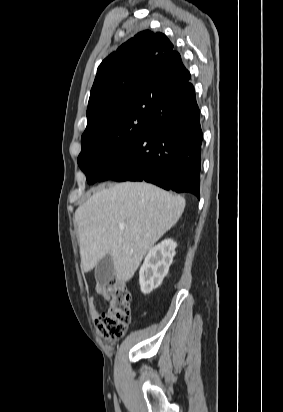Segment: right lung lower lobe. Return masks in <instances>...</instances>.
Returning a JSON list of instances; mask_svg holds the SVG:
<instances>
[{"instance_id": "98d812e1", "label": "right lung lower lobe", "mask_w": 283, "mask_h": 412, "mask_svg": "<svg viewBox=\"0 0 283 412\" xmlns=\"http://www.w3.org/2000/svg\"><path fill=\"white\" fill-rule=\"evenodd\" d=\"M202 137L194 87L187 82L169 96L125 155L97 181H146L200 198Z\"/></svg>"}]
</instances>
